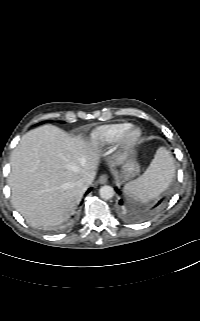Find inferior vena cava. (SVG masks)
Returning a JSON list of instances; mask_svg holds the SVG:
<instances>
[{
    "mask_svg": "<svg viewBox=\"0 0 200 321\" xmlns=\"http://www.w3.org/2000/svg\"><path fill=\"white\" fill-rule=\"evenodd\" d=\"M89 185H90V180L86 177L79 179L76 183V186L83 191H85Z\"/></svg>",
    "mask_w": 200,
    "mask_h": 321,
    "instance_id": "602c4592",
    "label": "inferior vena cava"
}]
</instances>
